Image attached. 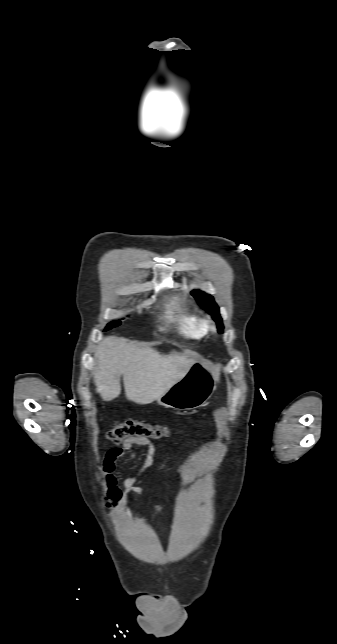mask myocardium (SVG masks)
Instances as JSON below:
<instances>
[{
    "instance_id": "1",
    "label": "myocardium",
    "mask_w": 337,
    "mask_h": 644,
    "mask_svg": "<svg viewBox=\"0 0 337 644\" xmlns=\"http://www.w3.org/2000/svg\"><path fill=\"white\" fill-rule=\"evenodd\" d=\"M209 329H210V330H214V325H213V324H209Z\"/></svg>"
}]
</instances>
